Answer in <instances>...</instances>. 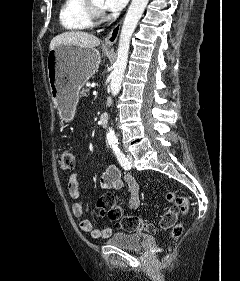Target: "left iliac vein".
Returning a JSON list of instances; mask_svg holds the SVG:
<instances>
[{"label": "left iliac vein", "instance_id": "left-iliac-vein-1", "mask_svg": "<svg viewBox=\"0 0 240 281\" xmlns=\"http://www.w3.org/2000/svg\"><path fill=\"white\" fill-rule=\"evenodd\" d=\"M127 159H128V161L130 162V164L133 165L134 159H133L132 155L128 154V155H127Z\"/></svg>", "mask_w": 240, "mask_h": 281}]
</instances>
